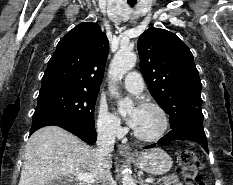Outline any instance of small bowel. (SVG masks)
Returning a JSON list of instances; mask_svg holds the SVG:
<instances>
[{
    "label": "small bowel",
    "mask_w": 233,
    "mask_h": 185,
    "mask_svg": "<svg viewBox=\"0 0 233 185\" xmlns=\"http://www.w3.org/2000/svg\"><path fill=\"white\" fill-rule=\"evenodd\" d=\"M174 185H184V184H183V183L178 182V183H176V184H174Z\"/></svg>",
    "instance_id": "small-bowel-1"
}]
</instances>
